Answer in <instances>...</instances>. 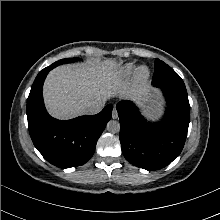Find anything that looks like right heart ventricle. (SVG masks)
<instances>
[{
  "instance_id": "obj_1",
  "label": "right heart ventricle",
  "mask_w": 220,
  "mask_h": 220,
  "mask_svg": "<svg viewBox=\"0 0 220 220\" xmlns=\"http://www.w3.org/2000/svg\"><path fill=\"white\" fill-rule=\"evenodd\" d=\"M135 67L131 64L126 65L123 70H122V75L123 76H128L134 71Z\"/></svg>"
}]
</instances>
